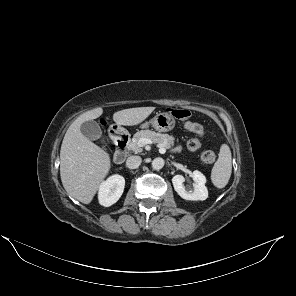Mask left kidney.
Wrapping results in <instances>:
<instances>
[{"label": "left kidney", "mask_w": 296, "mask_h": 296, "mask_svg": "<svg viewBox=\"0 0 296 296\" xmlns=\"http://www.w3.org/2000/svg\"><path fill=\"white\" fill-rule=\"evenodd\" d=\"M192 178L194 180V189L190 191H186L184 182L185 178L182 175H175L172 178V183L174 186L175 191L178 193L180 197L185 200L191 201H203L206 200L208 197V190L205 186L206 177L198 170H195L192 173Z\"/></svg>", "instance_id": "5707ae66"}]
</instances>
